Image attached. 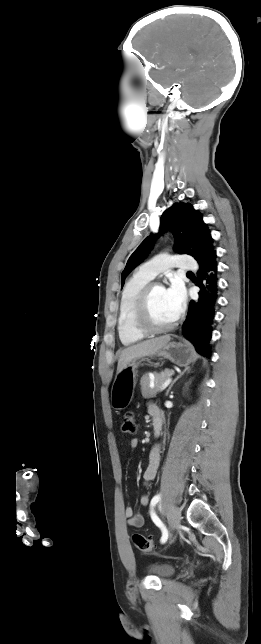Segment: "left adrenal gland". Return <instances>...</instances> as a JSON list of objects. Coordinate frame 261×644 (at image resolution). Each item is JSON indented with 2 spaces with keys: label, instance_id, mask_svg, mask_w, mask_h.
Wrapping results in <instances>:
<instances>
[{
  "label": "left adrenal gland",
  "instance_id": "a2214340",
  "mask_svg": "<svg viewBox=\"0 0 261 644\" xmlns=\"http://www.w3.org/2000/svg\"><path fill=\"white\" fill-rule=\"evenodd\" d=\"M189 371H190V369H189V368H186L182 373H180V374H179V375H178V376H177V377H176V378L171 382V384H170L169 388H168V389H167V391H166V396H168V394H169V392H170L171 388H172V387H173V385L176 383V381H177V380H178L182 375H184V374H185V372H189Z\"/></svg>",
  "mask_w": 261,
  "mask_h": 644
}]
</instances>
